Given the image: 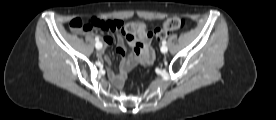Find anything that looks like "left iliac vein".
<instances>
[{"mask_svg": "<svg viewBox=\"0 0 276 120\" xmlns=\"http://www.w3.org/2000/svg\"><path fill=\"white\" fill-rule=\"evenodd\" d=\"M161 51H162V53H167V51H168V48L166 47V46H162L161 47Z\"/></svg>", "mask_w": 276, "mask_h": 120, "instance_id": "1", "label": "left iliac vein"}]
</instances>
